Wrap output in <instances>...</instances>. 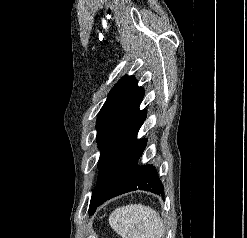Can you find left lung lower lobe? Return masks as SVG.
I'll return each instance as SVG.
<instances>
[{
	"instance_id": "0a47b994",
	"label": "left lung lower lobe",
	"mask_w": 247,
	"mask_h": 238,
	"mask_svg": "<svg viewBox=\"0 0 247 238\" xmlns=\"http://www.w3.org/2000/svg\"><path fill=\"white\" fill-rule=\"evenodd\" d=\"M138 130L105 171L97 189V206L137 189L163 195V185L155 168L137 164L147 143L146 139L137 140Z\"/></svg>"
}]
</instances>
